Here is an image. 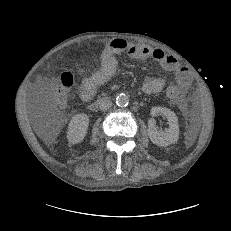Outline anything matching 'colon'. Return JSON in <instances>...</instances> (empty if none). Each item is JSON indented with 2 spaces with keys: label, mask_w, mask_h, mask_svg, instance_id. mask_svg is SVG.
<instances>
[{
  "label": "colon",
  "mask_w": 231,
  "mask_h": 231,
  "mask_svg": "<svg viewBox=\"0 0 231 231\" xmlns=\"http://www.w3.org/2000/svg\"><path fill=\"white\" fill-rule=\"evenodd\" d=\"M73 85V76L70 72L64 71L49 78V97L52 103L59 109L67 105L68 91ZM167 96L170 99H177L180 96V89L177 86H170L167 89Z\"/></svg>",
  "instance_id": "1"
}]
</instances>
